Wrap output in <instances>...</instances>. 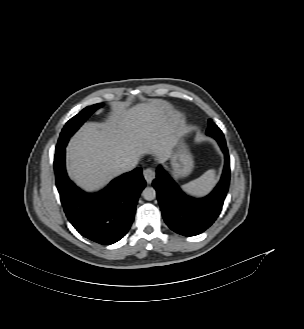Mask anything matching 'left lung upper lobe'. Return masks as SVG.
<instances>
[{
    "mask_svg": "<svg viewBox=\"0 0 304 329\" xmlns=\"http://www.w3.org/2000/svg\"><path fill=\"white\" fill-rule=\"evenodd\" d=\"M213 124H214V123L210 121L209 124H208V129H209L211 126H213Z\"/></svg>",
    "mask_w": 304,
    "mask_h": 329,
    "instance_id": "obj_1",
    "label": "left lung upper lobe"
}]
</instances>
